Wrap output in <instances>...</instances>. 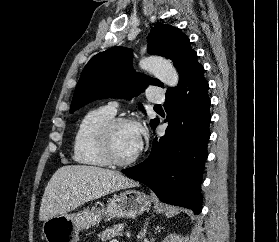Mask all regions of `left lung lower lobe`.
<instances>
[{
    "instance_id": "left-lung-lower-lobe-1",
    "label": "left lung lower lobe",
    "mask_w": 279,
    "mask_h": 242,
    "mask_svg": "<svg viewBox=\"0 0 279 242\" xmlns=\"http://www.w3.org/2000/svg\"><path fill=\"white\" fill-rule=\"evenodd\" d=\"M208 88L204 68L194 53L178 86L166 92L165 135L155 138L144 162L122 170L129 178L150 187L162 202L191 209L196 214L202 210L201 183L210 138Z\"/></svg>"
}]
</instances>
